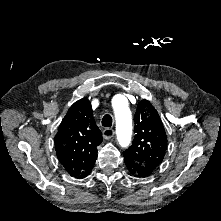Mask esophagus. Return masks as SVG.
Returning <instances> with one entry per match:
<instances>
[{
    "label": "esophagus",
    "instance_id": "esophagus-1",
    "mask_svg": "<svg viewBox=\"0 0 221 221\" xmlns=\"http://www.w3.org/2000/svg\"><path fill=\"white\" fill-rule=\"evenodd\" d=\"M114 130L111 129V128H106L104 131H103V137L105 139H110L114 136Z\"/></svg>",
    "mask_w": 221,
    "mask_h": 221
}]
</instances>
